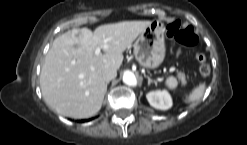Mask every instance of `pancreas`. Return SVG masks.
Listing matches in <instances>:
<instances>
[{"label":"pancreas","mask_w":247,"mask_h":145,"mask_svg":"<svg viewBox=\"0 0 247 145\" xmlns=\"http://www.w3.org/2000/svg\"><path fill=\"white\" fill-rule=\"evenodd\" d=\"M177 76H178V78H179L183 83L185 82V78H186L185 73H183V72H178V73H177Z\"/></svg>","instance_id":"obj_1"}]
</instances>
